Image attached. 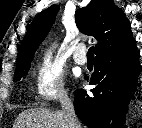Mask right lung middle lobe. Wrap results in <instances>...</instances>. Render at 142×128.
<instances>
[{
  "label": "right lung middle lobe",
  "instance_id": "obj_1",
  "mask_svg": "<svg viewBox=\"0 0 142 128\" xmlns=\"http://www.w3.org/2000/svg\"><path fill=\"white\" fill-rule=\"evenodd\" d=\"M31 61L32 59L16 64V71L14 75L16 80H20L22 76L27 74V71L31 65Z\"/></svg>",
  "mask_w": 142,
  "mask_h": 128
}]
</instances>
